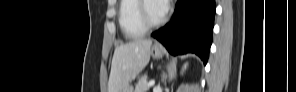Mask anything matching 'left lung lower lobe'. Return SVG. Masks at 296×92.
<instances>
[{"label": "left lung lower lobe", "instance_id": "0a47b994", "mask_svg": "<svg viewBox=\"0 0 296 92\" xmlns=\"http://www.w3.org/2000/svg\"><path fill=\"white\" fill-rule=\"evenodd\" d=\"M215 0H179L171 21L152 34L174 54L192 52L207 63L212 42Z\"/></svg>", "mask_w": 296, "mask_h": 92}]
</instances>
